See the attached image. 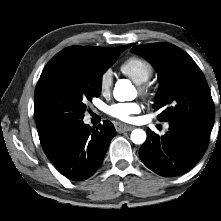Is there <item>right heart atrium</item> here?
<instances>
[{
    "label": "right heart atrium",
    "mask_w": 221,
    "mask_h": 221,
    "mask_svg": "<svg viewBox=\"0 0 221 221\" xmlns=\"http://www.w3.org/2000/svg\"><path fill=\"white\" fill-rule=\"evenodd\" d=\"M113 78L110 70L104 71L100 76V89L102 92H107L112 86Z\"/></svg>",
    "instance_id": "obj_1"
}]
</instances>
